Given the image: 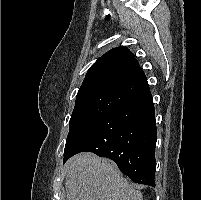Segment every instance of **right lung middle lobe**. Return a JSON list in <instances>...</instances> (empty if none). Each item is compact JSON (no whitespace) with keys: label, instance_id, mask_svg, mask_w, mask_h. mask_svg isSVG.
Returning a JSON list of instances; mask_svg holds the SVG:
<instances>
[{"label":"right lung middle lobe","instance_id":"1","mask_svg":"<svg viewBox=\"0 0 201 200\" xmlns=\"http://www.w3.org/2000/svg\"><path fill=\"white\" fill-rule=\"evenodd\" d=\"M130 99L126 96L110 91H91L78 93L71 119L69 133L66 140L64 157L69 142L83 129L102 118L112 110L121 107Z\"/></svg>","mask_w":201,"mask_h":200}]
</instances>
